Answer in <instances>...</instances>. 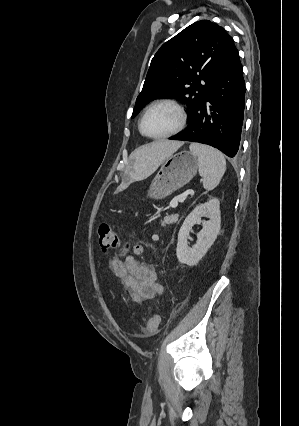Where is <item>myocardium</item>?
Masks as SVG:
<instances>
[{"mask_svg":"<svg viewBox=\"0 0 299 426\" xmlns=\"http://www.w3.org/2000/svg\"><path fill=\"white\" fill-rule=\"evenodd\" d=\"M159 105H170V106L174 107L179 113V123H178V125L175 129H173L172 131H170L166 134L159 135V136H152V135H149L145 132L144 120H145L146 116L148 115V113L150 112V110L153 109L156 106H159ZM187 119H188L187 110L182 103H180L176 99L164 98V99H160V100H157V101L151 103L146 108V110L143 113V115L140 119V122H139V130L142 133V135H144L147 138L154 139V140L165 139V138H169V137H172V136L180 133L185 128V126L187 124Z\"/></svg>","mask_w":299,"mask_h":426,"instance_id":"obj_1","label":"myocardium"}]
</instances>
